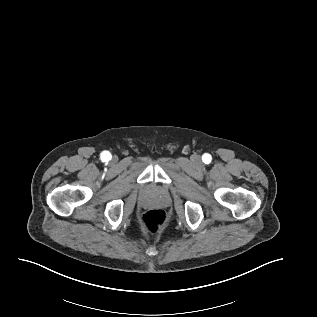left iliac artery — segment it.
Listing matches in <instances>:
<instances>
[{"label":"left iliac artery","instance_id":"obj_1","mask_svg":"<svg viewBox=\"0 0 317 317\" xmlns=\"http://www.w3.org/2000/svg\"><path fill=\"white\" fill-rule=\"evenodd\" d=\"M202 159H203L204 163L209 164L211 162V160H212V157H211L210 154H204Z\"/></svg>","mask_w":317,"mask_h":317}]
</instances>
